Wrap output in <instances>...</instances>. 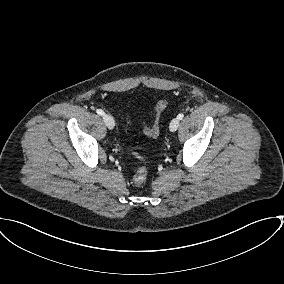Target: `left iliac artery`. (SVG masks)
I'll return each mask as SVG.
<instances>
[{
  "label": "left iliac artery",
  "instance_id": "44dca946",
  "mask_svg": "<svg viewBox=\"0 0 284 284\" xmlns=\"http://www.w3.org/2000/svg\"><path fill=\"white\" fill-rule=\"evenodd\" d=\"M183 117H184L183 113H180V114H178V116H177V118H178L179 120H182Z\"/></svg>",
  "mask_w": 284,
  "mask_h": 284
}]
</instances>
